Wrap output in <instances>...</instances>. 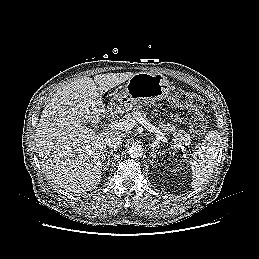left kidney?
<instances>
[{
    "instance_id": "5707ae66",
    "label": "left kidney",
    "mask_w": 259,
    "mask_h": 259,
    "mask_svg": "<svg viewBox=\"0 0 259 259\" xmlns=\"http://www.w3.org/2000/svg\"><path fill=\"white\" fill-rule=\"evenodd\" d=\"M174 171H175V172H176V171H179V169L171 170V172H174Z\"/></svg>"
}]
</instances>
